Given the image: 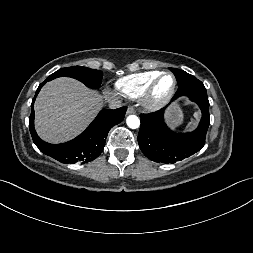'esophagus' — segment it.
I'll use <instances>...</instances> for the list:
<instances>
[{"instance_id":"34e87169","label":"esophagus","mask_w":253,"mask_h":253,"mask_svg":"<svg viewBox=\"0 0 253 253\" xmlns=\"http://www.w3.org/2000/svg\"><path fill=\"white\" fill-rule=\"evenodd\" d=\"M134 113H135L134 108L129 106L128 109H127V114H134Z\"/></svg>"}]
</instances>
